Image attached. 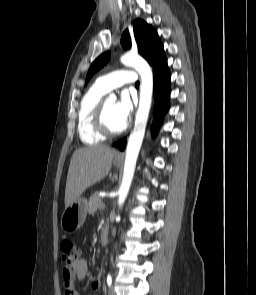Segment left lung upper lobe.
I'll return each instance as SVG.
<instances>
[{"label":"left lung upper lobe","mask_w":256,"mask_h":295,"mask_svg":"<svg viewBox=\"0 0 256 295\" xmlns=\"http://www.w3.org/2000/svg\"><path fill=\"white\" fill-rule=\"evenodd\" d=\"M133 33L139 53L148 61L153 69L167 64L163 45L157 32L150 25L140 19H137L133 23ZM121 45L125 49H129L131 47V38L128 30L122 34ZM109 59L110 53L105 52L92 63L87 73L85 84H87L93 74L102 68L109 61Z\"/></svg>","instance_id":"1"}]
</instances>
